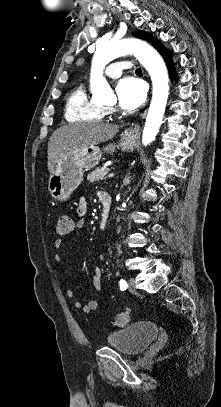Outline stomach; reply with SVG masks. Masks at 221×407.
<instances>
[{"mask_svg": "<svg viewBox=\"0 0 221 407\" xmlns=\"http://www.w3.org/2000/svg\"><path fill=\"white\" fill-rule=\"evenodd\" d=\"M136 140V134L126 131L117 145L109 144L103 148L98 145L87 146L64 153L50 173L48 182L50 195L58 201L67 200L83 181L84 171L98 165L103 152H113L116 148L132 151Z\"/></svg>", "mask_w": 221, "mask_h": 407, "instance_id": "0dacf381", "label": "stomach"}]
</instances>
